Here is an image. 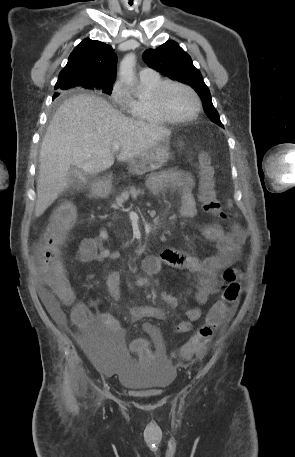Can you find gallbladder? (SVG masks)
<instances>
[{"label":"gallbladder","mask_w":295,"mask_h":457,"mask_svg":"<svg viewBox=\"0 0 295 457\" xmlns=\"http://www.w3.org/2000/svg\"><path fill=\"white\" fill-rule=\"evenodd\" d=\"M78 169L75 167H70L68 171V179L74 184H80Z\"/></svg>","instance_id":"1"}]
</instances>
